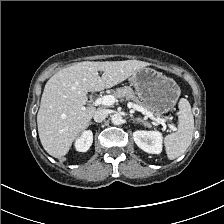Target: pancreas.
<instances>
[{
    "label": "pancreas",
    "instance_id": "cf45deb5",
    "mask_svg": "<svg viewBox=\"0 0 224 224\" xmlns=\"http://www.w3.org/2000/svg\"><path fill=\"white\" fill-rule=\"evenodd\" d=\"M113 93H114L115 97L125 98L127 100H130L134 104H136L140 107H143L152 113V111L149 109V107L136 96L135 92L132 90L131 87L124 86V87L116 89L115 91H113Z\"/></svg>",
    "mask_w": 224,
    "mask_h": 224
}]
</instances>
